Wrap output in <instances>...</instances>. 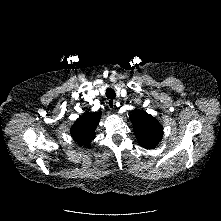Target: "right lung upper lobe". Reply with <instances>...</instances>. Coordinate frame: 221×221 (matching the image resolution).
I'll list each match as a JSON object with an SVG mask.
<instances>
[{
  "instance_id": "cb5924a9",
  "label": "right lung upper lobe",
  "mask_w": 221,
  "mask_h": 221,
  "mask_svg": "<svg viewBox=\"0 0 221 221\" xmlns=\"http://www.w3.org/2000/svg\"><path fill=\"white\" fill-rule=\"evenodd\" d=\"M101 118V112L86 113L79 117L71 127L73 139L84 146H89L95 137V129Z\"/></svg>"
}]
</instances>
